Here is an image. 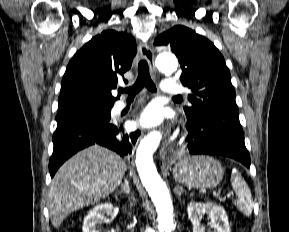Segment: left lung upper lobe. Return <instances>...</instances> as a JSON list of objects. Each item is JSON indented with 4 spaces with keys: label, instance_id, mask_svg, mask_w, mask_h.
<instances>
[{
    "label": "left lung upper lobe",
    "instance_id": "5c2ea615",
    "mask_svg": "<svg viewBox=\"0 0 289 232\" xmlns=\"http://www.w3.org/2000/svg\"><path fill=\"white\" fill-rule=\"evenodd\" d=\"M154 44L171 48L179 59L180 80L192 91L188 96L192 106L184 108L187 120L219 115L239 121L230 72L211 41L185 26L176 25L160 34Z\"/></svg>",
    "mask_w": 289,
    "mask_h": 232
}]
</instances>
